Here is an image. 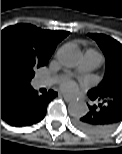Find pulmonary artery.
<instances>
[{
	"instance_id": "e3ab8cb5",
	"label": "pulmonary artery",
	"mask_w": 122,
	"mask_h": 154,
	"mask_svg": "<svg viewBox=\"0 0 122 154\" xmlns=\"http://www.w3.org/2000/svg\"><path fill=\"white\" fill-rule=\"evenodd\" d=\"M102 63V56L99 52L93 49H88L84 52L83 60L80 65V71L81 72H90L94 69L98 68ZM49 85V81L43 78H39L35 82V86L40 87H46Z\"/></svg>"
}]
</instances>
